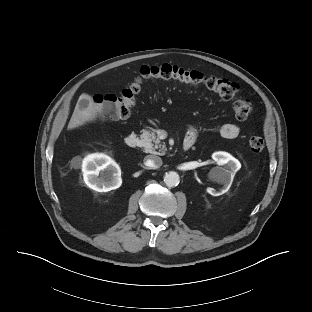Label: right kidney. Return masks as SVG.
<instances>
[{
  "mask_svg": "<svg viewBox=\"0 0 312 312\" xmlns=\"http://www.w3.org/2000/svg\"><path fill=\"white\" fill-rule=\"evenodd\" d=\"M82 172L86 185L98 192H108L122 184L120 167L104 154L87 156L83 160Z\"/></svg>",
  "mask_w": 312,
  "mask_h": 312,
  "instance_id": "1",
  "label": "right kidney"
}]
</instances>
